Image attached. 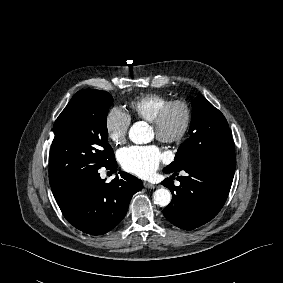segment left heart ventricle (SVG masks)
I'll list each match as a JSON object with an SVG mask.
<instances>
[{
	"label": "left heart ventricle",
	"mask_w": 283,
	"mask_h": 283,
	"mask_svg": "<svg viewBox=\"0 0 283 283\" xmlns=\"http://www.w3.org/2000/svg\"><path fill=\"white\" fill-rule=\"evenodd\" d=\"M181 122H182V114L178 109H175L171 113L169 121H168L169 131H171V132L176 131L180 127Z\"/></svg>",
	"instance_id": "left-heart-ventricle-1"
}]
</instances>
